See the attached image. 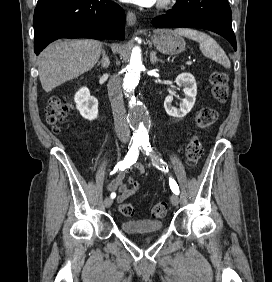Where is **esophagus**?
Instances as JSON below:
<instances>
[{
	"instance_id": "34e87169",
	"label": "esophagus",
	"mask_w": 272,
	"mask_h": 282,
	"mask_svg": "<svg viewBox=\"0 0 272 282\" xmlns=\"http://www.w3.org/2000/svg\"><path fill=\"white\" fill-rule=\"evenodd\" d=\"M126 22L128 26H133L136 23V16L132 11H128L126 15Z\"/></svg>"
}]
</instances>
